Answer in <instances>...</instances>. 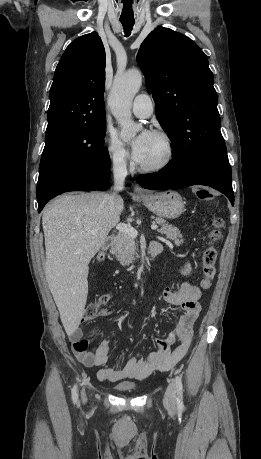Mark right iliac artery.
Masks as SVG:
<instances>
[{"label":"right iliac artery","mask_w":261,"mask_h":459,"mask_svg":"<svg viewBox=\"0 0 261 459\" xmlns=\"http://www.w3.org/2000/svg\"><path fill=\"white\" fill-rule=\"evenodd\" d=\"M72 399L74 402H77L78 399V393H77V387L74 386L72 389Z\"/></svg>","instance_id":"right-iliac-artery-1"}]
</instances>
